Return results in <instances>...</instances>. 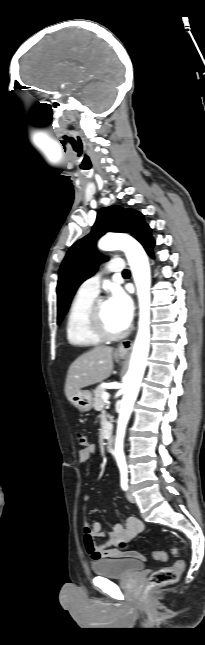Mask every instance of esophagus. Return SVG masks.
<instances>
[{
  "label": "esophagus",
  "mask_w": 205,
  "mask_h": 645,
  "mask_svg": "<svg viewBox=\"0 0 205 645\" xmlns=\"http://www.w3.org/2000/svg\"><path fill=\"white\" fill-rule=\"evenodd\" d=\"M131 347H132L131 341L124 340L119 344L116 352L118 354L124 355V354H127L130 351Z\"/></svg>",
  "instance_id": "obj_1"
}]
</instances>
